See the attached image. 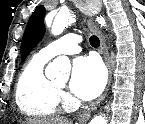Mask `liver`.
<instances>
[{
    "label": "liver",
    "instance_id": "liver-1",
    "mask_svg": "<svg viewBox=\"0 0 145 124\" xmlns=\"http://www.w3.org/2000/svg\"><path fill=\"white\" fill-rule=\"evenodd\" d=\"M23 124H72L66 118H28Z\"/></svg>",
    "mask_w": 145,
    "mask_h": 124
}]
</instances>
